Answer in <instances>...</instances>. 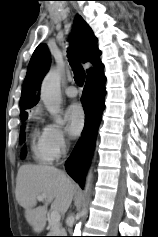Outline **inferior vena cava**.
<instances>
[{
	"mask_svg": "<svg viewBox=\"0 0 158 237\" xmlns=\"http://www.w3.org/2000/svg\"><path fill=\"white\" fill-rule=\"evenodd\" d=\"M70 218H71V216L68 217L67 222H68V220H69Z\"/></svg>",
	"mask_w": 158,
	"mask_h": 237,
	"instance_id": "602c4592",
	"label": "inferior vena cava"
}]
</instances>
